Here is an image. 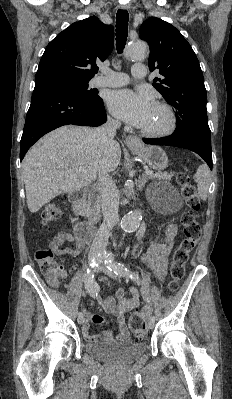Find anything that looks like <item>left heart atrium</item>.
I'll list each match as a JSON object with an SVG mask.
<instances>
[{
    "instance_id": "left-heart-atrium-1",
    "label": "left heart atrium",
    "mask_w": 232,
    "mask_h": 399,
    "mask_svg": "<svg viewBox=\"0 0 232 399\" xmlns=\"http://www.w3.org/2000/svg\"><path fill=\"white\" fill-rule=\"evenodd\" d=\"M107 105L115 117L137 128L148 120L154 106L147 94L130 90L113 91Z\"/></svg>"
}]
</instances>
